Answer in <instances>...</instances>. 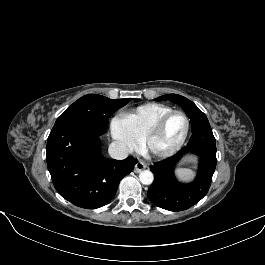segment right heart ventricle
<instances>
[{
  "instance_id": "e07e8e85",
  "label": "right heart ventricle",
  "mask_w": 265,
  "mask_h": 265,
  "mask_svg": "<svg viewBox=\"0 0 265 265\" xmlns=\"http://www.w3.org/2000/svg\"><path fill=\"white\" fill-rule=\"evenodd\" d=\"M172 110L159 103H146L122 114L130 131L141 140L152 125L165 113Z\"/></svg>"
}]
</instances>
